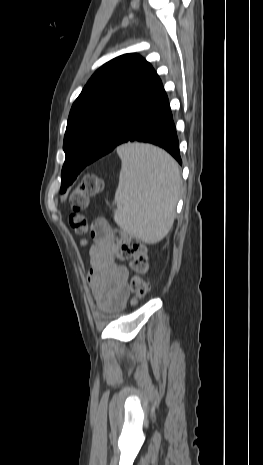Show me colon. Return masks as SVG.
<instances>
[{"label":"colon","instance_id":"5ec220e1","mask_svg":"<svg viewBox=\"0 0 263 465\" xmlns=\"http://www.w3.org/2000/svg\"><path fill=\"white\" fill-rule=\"evenodd\" d=\"M103 187L104 182L97 174L87 173L71 193L69 204L72 213L69 222L77 234L84 235L88 232L92 234L96 228H108L103 221L89 223L82 213L87 208L90 197L98 194ZM112 237L119 245L122 256L131 259V268L135 274L130 281V291L132 302L136 303L148 292V281L145 277L148 270L146 248L140 241L118 230L112 232Z\"/></svg>","mask_w":263,"mask_h":465}]
</instances>
